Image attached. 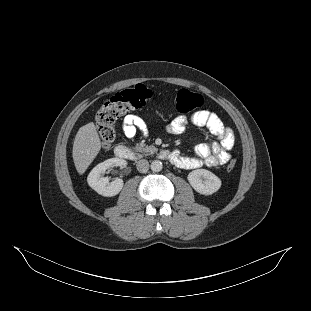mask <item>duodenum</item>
Wrapping results in <instances>:
<instances>
[{
	"label": "duodenum",
	"mask_w": 311,
	"mask_h": 311,
	"mask_svg": "<svg viewBox=\"0 0 311 311\" xmlns=\"http://www.w3.org/2000/svg\"><path fill=\"white\" fill-rule=\"evenodd\" d=\"M114 154L116 157L127 160H136L138 158V154L124 145H118L114 149ZM158 158L162 160H168L173 162L175 159V155L173 152L168 150H161L157 153Z\"/></svg>",
	"instance_id": "duodenum-1"
}]
</instances>
